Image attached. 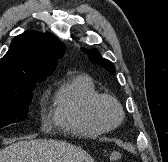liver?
<instances>
[{
	"mask_svg": "<svg viewBox=\"0 0 168 162\" xmlns=\"http://www.w3.org/2000/svg\"><path fill=\"white\" fill-rule=\"evenodd\" d=\"M0 162H94L80 147L58 140H29L0 150Z\"/></svg>",
	"mask_w": 168,
	"mask_h": 162,
	"instance_id": "obj_1",
	"label": "liver"
}]
</instances>
